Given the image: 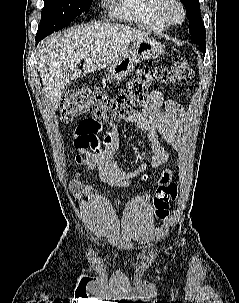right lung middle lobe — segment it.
Listing matches in <instances>:
<instances>
[{
  "mask_svg": "<svg viewBox=\"0 0 239 303\" xmlns=\"http://www.w3.org/2000/svg\"><path fill=\"white\" fill-rule=\"evenodd\" d=\"M93 0H45L37 33L47 35L69 25L71 20L90 9Z\"/></svg>",
  "mask_w": 239,
  "mask_h": 303,
  "instance_id": "right-lung-middle-lobe-1",
  "label": "right lung middle lobe"
}]
</instances>
